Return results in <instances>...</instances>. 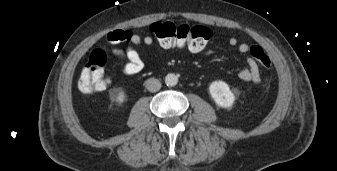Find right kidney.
<instances>
[{
  "label": "right kidney",
  "mask_w": 337,
  "mask_h": 171,
  "mask_svg": "<svg viewBox=\"0 0 337 171\" xmlns=\"http://www.w3.org/2000/svg\"><path fill=\"white\" fill-rule=\"evenodd\" d=\"M116 101L118 104H122L125 101V93L123 91H120L116 97Z\"/></svg>",
  "instance_id": "obj_1"
}]
</instances>
